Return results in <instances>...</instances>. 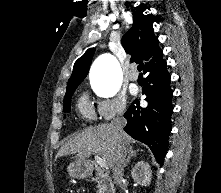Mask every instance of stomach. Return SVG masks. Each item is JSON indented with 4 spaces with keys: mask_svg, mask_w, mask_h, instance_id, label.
I'll list each match as a JSON object with an SVG mask.
<instances>
[{
    "mask_svg": "<svg viewBox=\"0 0 221 193\" xmlns=\"http://www.w3.org/2000/svg\"><path fill=\"white\" fill-rule=\"evenodd\" d=\"M68 173L71 177L81 179L86 177L88 169L84 161H75L71 163L68 168Z\"/></svg>",
    "mask_w": 221,
    "mask_h": 193,
    "instance_id": "obj_1",
    "label": "stomach"
}]
</instances>
